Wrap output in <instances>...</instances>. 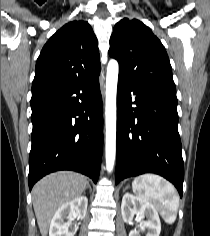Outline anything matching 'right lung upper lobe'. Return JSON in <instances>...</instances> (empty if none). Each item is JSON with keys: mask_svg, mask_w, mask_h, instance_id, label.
Here are the masks:
<instances>
[{"mask_svg": "<svg viewBox=\"0 0 210 236\" xmlns=\"http://www.w3.org/2000/svg\"><path fill=\"white\" fill-rule=\"evenodd\" d=\"M97 39L85 21H72L44 45L35 68L32 92L60 91L100 72Z\"/></svg>", "mask_w": 210, "mask_h": 236, "instance_id": "right-lung-upper-lobe-1", "label": "right lung upper lobe"}]
</instances>
